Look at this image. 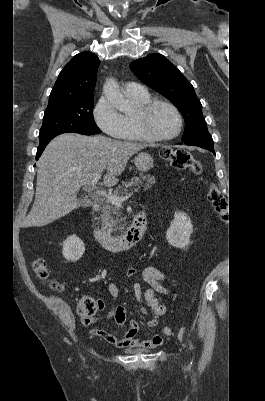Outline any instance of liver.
Wrapping results in <instances>:
<instances>
[{"instance_id":"liver-1","label":"liver","mask_w":265,"mask_h":401,"mask_svg":"<svg viewBox=\"0 0 265 401\" xmlns=\"http://www.w3.org/2000/svg\"><path fill=\"white\" fill-rule=\"evenodd\" d=\"M145 146L148 144L101 134H59L47 144L38 160L35 201L23 227H44L77 209V190L90 184L104 168V184L114 186L130 156Z\"/></svg>"}]
</instances>
